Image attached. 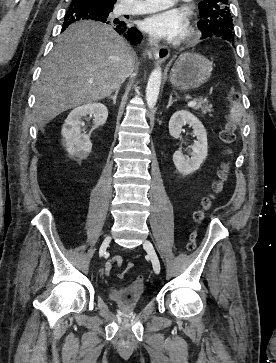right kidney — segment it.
<instances>
[{
  "label": "right kidney",
  "mask_w": 276,
  "mask_h": 363,
  "mask_svg": "<svg viewBox=\"0 0 276 363\" xmlns=\"http://www.w3.org/2000/svg\"><path fill=\"white\" fill-rule=\"evenodd\" d=\"M89 115L93 117L94 126L92 130L106 123L108 110L102 103H88L73 109L66 118L61 130L63 144L66 151L78 159H86L91 152L92 143L90 134L81 133L84 125L82 118Z\"/></svg>",
  "instance_id": "1"
}]
</instances>
